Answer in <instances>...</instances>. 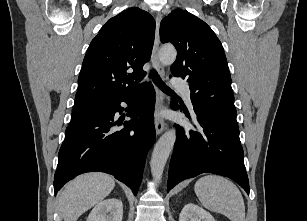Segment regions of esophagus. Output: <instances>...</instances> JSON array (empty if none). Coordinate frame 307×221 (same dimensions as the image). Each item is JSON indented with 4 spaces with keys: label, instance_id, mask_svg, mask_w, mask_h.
<instances>
[{
    "label": "esophagus",
    "instance_id": "esophagus-1",
    "mask_svg": "<svg viewBox=\"0 0 307 221\" xmlns=\"http://www.w3.org/2000/svg\"><path fill=\"white\" fill-rule=\"evenodd\" d=\"M161 15L158 14L156 16V29H155V40H154V46H153V51H152V63L154 68L158 71V73L164 77L165 75V70L163 65L161 64L159 60V45H160V22H161ZM164 93L156 88V114H155V130L156 134L159 135L162 133V131L165 129V121L163 118L160 116L159 112L161 107L163 106L164 103Z\"/></svg>",
    "mask_w": 307,
    "mask_h": 221
}]
</instances>
